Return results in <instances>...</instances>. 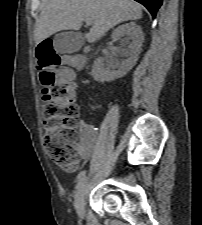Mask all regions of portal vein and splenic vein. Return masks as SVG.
<instances>
[{
	"mask_svg": "<svg viewBox=\"0 0 202 225\" xmlns=\"http://www.w3.org/2000/svg\"><path fill=\"white\" fill-rule=\"evenodd\" d=\"M86 24L87 25H90L91 24V21L90 20H86Z\"/></svg>",
	"mask_w": 202,
	"mask_h": 225,
	"instance_id": "18ae733b",
	"label": "portal vein and splenic vein"
}]
</instances>
